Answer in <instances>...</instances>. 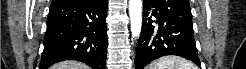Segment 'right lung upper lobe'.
<instances>
[{
    "instance_id": "1",
    "label": "right lung upper lobe",
    "mask_w": 246,
    "mask_h": 69,
    "mask_svg": "<svg viewBox=\"0 0 246 69\" xmlns=\"http://www.w3.org/2000/svg\"><path fill=\"white\" fill-rule=\"evenodd\" d=\"M75 1H85V2H93L97 0H53L52 4H61V3H71Z\"/></svg>"
}]
</instances>
